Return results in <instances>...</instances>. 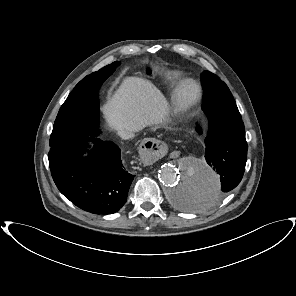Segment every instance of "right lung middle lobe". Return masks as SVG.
Instances as JSON below:
<instances>
[{
  "mask_svg": "<svg viewBox=\"0 0 296 296\" xmlns=\"http://www.w3.org/2000/svg\"><path fill=\"white\" fill-rule=\"evenodd\" d=\"M113 62L86 76L69 94L56 117L50 137V146L69 145L99 134L98 90L118 66Z\"/></svg>",
  "mask_w": 296,
  "mask_h": 296,
  "instance_id": "obj_1",
  "label": "right lung middle lobe"
}]
</instances>
